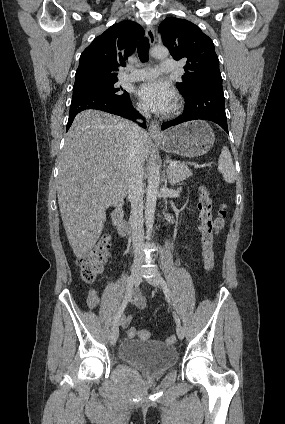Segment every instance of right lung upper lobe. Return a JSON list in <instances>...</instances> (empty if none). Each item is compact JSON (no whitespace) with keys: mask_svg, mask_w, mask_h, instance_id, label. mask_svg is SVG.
<instances>
[{"mask_svg":"<svg viewBox=\"0 0 285 424\" xmlns=\"http://www.w3.org/2000/svg\"><path fill=\"white\" fill-rule=\"evenodd\" d=\"M143 35V28L132 21L109 27L81 54L75 84L118 80L119 67L125 66L127 57L135 51L137 41Z\"/></svg>","mask_w":285,"mask_h":424,"instance_id":"right-lung-upper-lobe-1","label":"right lung upper lobe"}]
</instances>
